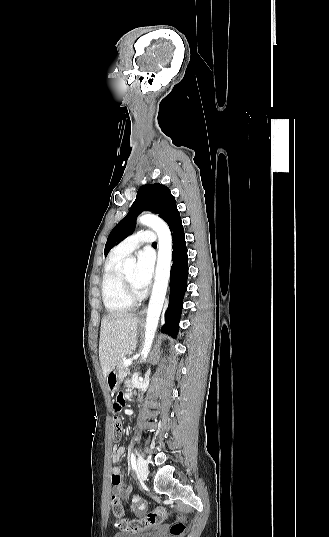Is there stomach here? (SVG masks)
<instances>
[{"label":"stomach","mask_w":329,"mask_h":537,"mask_svg":"<svg viewBox=\"0 0 329 537\" xmlns=\"http://www.w3.org/2000/svg\"><path fill=\"white\" fill-rule=\"evenodd\" d=\"M106 380H107L108 388L111 391H115L118 387V384L120 383V378L118 377L114 369L107 375Z\"/></svg>","instance_id":"obj_1"}]
</instances>
